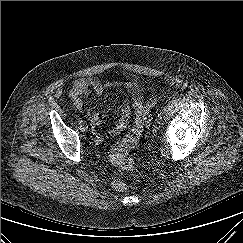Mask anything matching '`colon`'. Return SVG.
Returning a JSON list of instances; mask_svg holds the SVG:
<instances>
[{"label":"colon","instance_id":"1","mask_svg":"<svg viewBox=\"0 0 243 243\" xmlns=\"http://www.w3.org/2000/svg\"><path fill=\"white\" fill-rule=\"evenodd\" d=\"M155 104V99H148L145 104L138 107L131 132L109 152V159L112 163L126 170L130 168L131 160L128 153L137 145L139 137L148 123L149 113ZM112 187L117 191H122L126 188V183L122 178L117 177L112 180Z\"/></svg>","mask_w":243,"mask_h":243}]
</instances>
